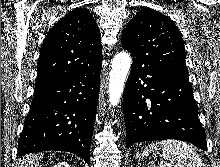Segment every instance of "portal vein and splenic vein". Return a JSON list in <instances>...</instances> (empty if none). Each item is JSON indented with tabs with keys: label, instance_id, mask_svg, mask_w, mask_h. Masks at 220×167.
I'll return each mask as SVG.
<instances>
[{
	"label": "portal vein and splenic vein",
	"instance_id": "portal-vein-and-splenic-vein-1",
	"mask_svg": "<svg viewBox=\"0 0 220 167\" xmlns=\"http://www.w3.org/2000/svg\"><path fill=\"white\" fill-rule=\"evenodd\" d=\"M162 167H171V165L167 164V165H163Z\"/></svg>",
	"mask_w": 220,
	"mask_h": 167
}]
</instances>
